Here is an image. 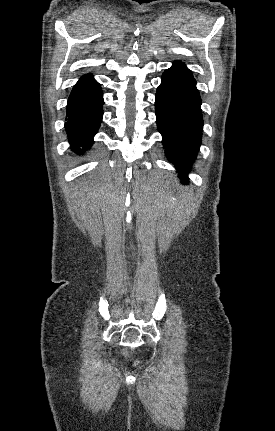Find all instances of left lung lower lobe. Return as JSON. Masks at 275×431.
<instances>
[{"instance_id":"0a47b994","label":"left lung lower lobe","mask_w":275,"mask_h":431,"mask_svg":"<svg viewBox=\"0 0 275 431\" xmlns=\"http://www.w3.org/2000/svg\"><path fill=\"white\" fill-rule=\"evenodd\" d=\"M155 110L165 154L185 184L201 144L203 119L196 81L183 62H173L163 73Z\"/></svg>"}]
</instances>
